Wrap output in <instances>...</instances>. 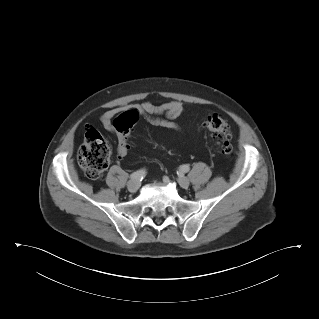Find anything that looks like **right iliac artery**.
<instances>
[{
  "instance_id": "right-iliac-artery-1",
  "label": "right iliac artery",
  "mask_w": 319,
  "mask_h": 319,
  "mask_svg": "<svg viewBox=\"0 0 319 319\" xmlns=\"http://www.w3.org/2000/svg\"><path fill=\"white\" fill-rule=\"evenodd\" d=\"M146 172L144 169H141V170H138L136 172H133L131 175H130V178L132 180H141L143 179V177L145 176Z\"/></svg>"
}]
</instances>
